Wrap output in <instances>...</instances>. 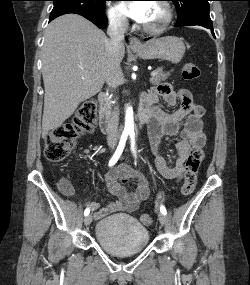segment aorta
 <instances>
[{
	"label": "aorta",
	"mask_w": 250,
	"mask_h": 285,
	"mask_svg": "<svg viewBox=\"0 0 250 285\" xmlns=\"http://www.w3.org/2000/svg\"><path fill=\"white\" fill-rule=\"evenodd\" d=\"M134 133V119H133V108L131 106H128L126 109V115H125V127L123 134H133Z\"/></svg>",
	"instance_id": "aorta-1"
}]
</instances>
